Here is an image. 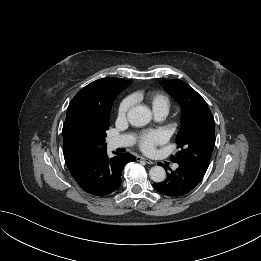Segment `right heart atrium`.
<instances>
[{
	"instance_id": "1",
	"label": "right heart atrium",
	"mask_w": 261,
	"mask_h": 261,
	"mask_svg": "<svg viewBox=\"0 0 261 261\" xmlns=\"http://www.w3.org/2000/svg\"><path fill=\"white\" fill-rule=\"evenodd\" d=\"M132 104L133 100L131 99V97H127L120 102L117 110L118 119L123 120L127 117Z\"/></svg>"
}]
</instances>
